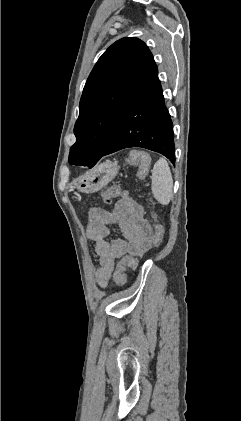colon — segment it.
I'll list each match as a JSON object with an SVG mask.
<instances>
[{"instance_id": "obj_1", "label": "colon", "mask_w": 241, "mask_h": 421, "mask_svg": "<svg viewBox=\"0 0 241 421\" xmlns=\"http://www.w3.org/2000/svg\"><path fill=\"white\" fill-rule=\"evenodd\" d=\"M127 162L130 165L138 167V176L143 178L150 168V157L143 151H134L129 154ZM120 194V189L117 185H112L102 193V198L105 203H110ZM163 227L155 220V232L153 236V246L157 247L163 240ZM138 265V258L134 256H125L117 264L114 271L115 282L123 286L126 283V269H136Z\"/></svg>"}]
</instances>
